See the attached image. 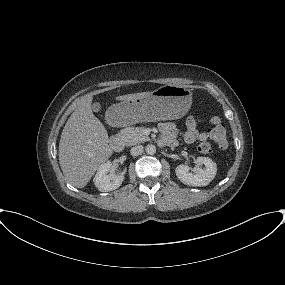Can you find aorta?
Returning <instances> with one entry per match:
<instances>
[{"label":"aorta","instance_id":"obj_1","mask_svg":"<svg viewBox=\"0 0 285 285\" xmlns=\"http://www.w3.org/2000/svg\"><path fill=\"white\" fill-rule=\"evenodd\" d=\"M155 152H156V147H155V145H153V144H148V145L146 146V153H147V154L153 155V154H155Z\"/></svg>","mask_w":285,"mask_h":285}]
</instances>
